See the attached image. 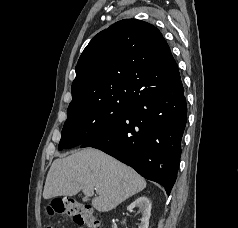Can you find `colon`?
<instances>
[{"mask_svg":"<svg viewBox=\"0 0 238 228\" xmlns=\"http://www.w3.org/2000/svg\"><path fill=\"white\" fill-rule=\"evenodd\" d=\"M50 215L70 217L75 224L82 228H102L100 218L93 210L73 198L56 200L48 207ZM45 228H53L47 226Z\"/></svg>","mask_w":238,"mask_h":228,"instance_id":"5ec220e1","label":"colon"}]
</instances>
